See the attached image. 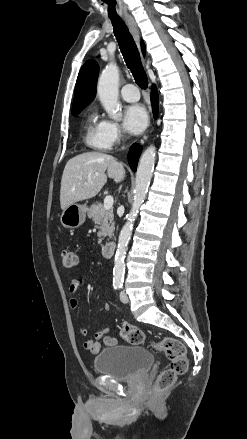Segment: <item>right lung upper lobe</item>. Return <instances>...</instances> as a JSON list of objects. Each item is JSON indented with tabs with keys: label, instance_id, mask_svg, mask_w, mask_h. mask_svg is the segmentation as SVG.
Listing matches in <instances>:
<instances>
[{
	"label": "right lung upper lobe",
	"instance_id": "cb5924a9",
	"mask_svg": "<svg viewBox=\"0 0 247 439\" xmlns=\"http://www.w3.org/2000/svg\"><path fill=\"white\" fill-rule=\"evenodd\" d=\"M144 54V44H142ZM99 72L98 64L87 61L81 68L75 85V94L72 112L84 109L95 97V85Z\"/></svg>",
	"mask_w": 247,
	"mask_h": 439
}]
</instances>
